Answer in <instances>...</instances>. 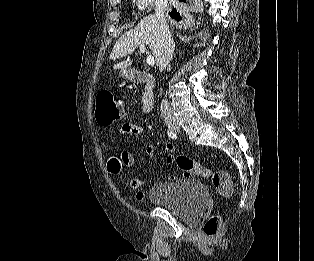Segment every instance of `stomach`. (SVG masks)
I'll use <instances>...</instances> for the list:
<instances>
[{"instance_id": "stomach-1", "label": "stomach", "mask_w": 314, "mask_h": 261, "mask_svg": "<svg viewBox=\"0 0 314 261\" xmlns=\"http://www.w3.org/2000/svg\"><path fill=\"white\" fill-rule=\"evenodd\" d=\"M120 76L128 81H132L133 80V73L131 70L129 69H122L120 71Z\"/></svg>"}]
</instances>
